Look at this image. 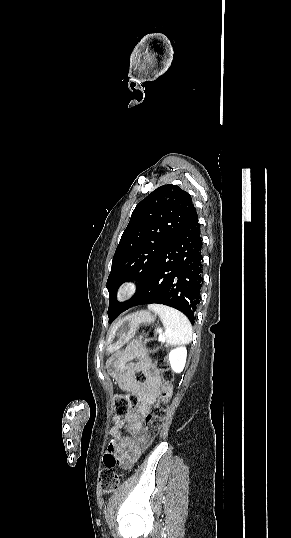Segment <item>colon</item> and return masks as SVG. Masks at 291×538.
I'll return each instance as SVG.
<instances>
[{
	"mask_svg": "<svg viewBox=\"0 0 291 538\" xmlns=\"http://www.w3.org/2000/svg\"><path fill=\"white\" fill-rule=\"evenodd\" d=\"M139 337L143 344L146 346L150 360L156 367L162 370V379L165 382H170L172 379L171 373L167 369H163L162 366L165 363V351L158 345L155 339V329L151 325H142L139 328ZM129 364L134 365L135 360L130 359ZM135 380L144 384L147 380L145 373L136 371L134 373ZM136 403L135 397L128 393H119L114 397V412L116 417H123L130 413ZM168 400L166 397H162L152 408L151 412L146 416L145 428L146 432L155 437L161 431L164 419L168 415ZM105 467L100 472L99 484L102 493H113L119 484V478L114 471V467L117 464L115 455L111 450L107 451L104 456Z\"/></svg>",
	"mask_w": 291,
	"mask_h": 538,
	"instance_id": "1",
	"label": "colon"
}]
</instances>
